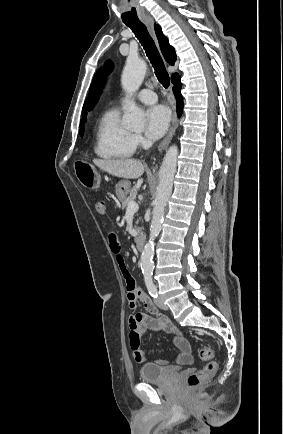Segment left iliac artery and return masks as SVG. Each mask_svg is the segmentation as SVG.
<instances>
[{"label":"left iliac artery","instance_id":"44dca946","mask_svg":"<svg viewBox=\"0 0 283 434\" xmlns=\"http://www.w3.org/2000/svg\"><path fill=\"white\" fill-rule=\"evenodd\" d=\"M145 284H146V287L148 289L149 294L153 298H157V296H158L157 288H156L155 284L153 283L152 277H150V276L145 277Z\"/></svg>","mask_w":283,"mask_h":434}]
</instances>
